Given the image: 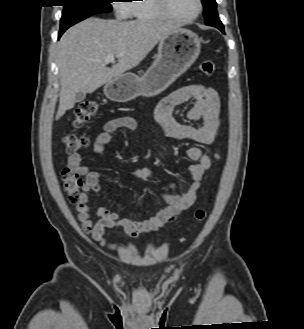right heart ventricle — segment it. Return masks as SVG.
<instances>
[{
    "instance_id": "obj_1",
    "label": "right heart ventricle",
    "mask_w": 304,
    "mask_h": 329,
    "mask_svg": "<svg viewBox=\"0 0 304 329\" xmlns=\"http://www.w3.org/2000/svg\"><path fill=\"white\" fill-rule=\"evenodd\" d=\"M129 4L130 15L139 21L163 20L167 17L159 9L156 0H134ZM139 2V3H136Z\"/></svg>"
}]
</instances>
